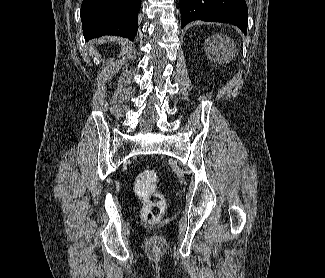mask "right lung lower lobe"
Masks as SVG:
<instances>
[{"label":"right lung lower lobe","mask_w":325,"mask_h":278,"mask_svg":"<svg viewBox=\"0 0 325 278\" xmlns=\"http://www.w3.org/2000/svg\"><path fill=\"white\" fill-rule=\"evenodd\" d=\"M140 7V0H83L81 19L85 39L118 35L133 40Z\"/></svg>","instance_id":"right-lung-lower-lobe-1"}]
</instances>
